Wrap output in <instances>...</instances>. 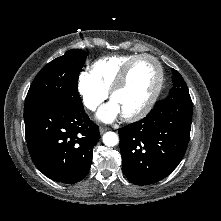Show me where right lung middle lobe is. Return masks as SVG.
<instances>
[{"mask_svg": "<svg viewBox=\"0 0 221 221\" xmlns=\"http://www.w3.org/2000/svg\"><path fill=\"white\" fill-rule=\"evenodd\" d=\"M87 55L83 50L73 49L45 65L30 86L24 112L50 103L82 108L78 77Z\"/></svg>", "mask_w": 221, "mask_h": 221, "instance_id": "obj_1", "label": "right lung middle lobe"}]
</instances>
